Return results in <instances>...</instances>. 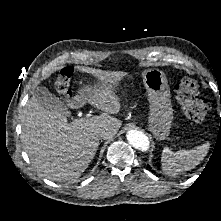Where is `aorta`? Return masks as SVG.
<instances>
[{"label":"aorta","instance_id":"obj_1","mask_svg":"<svg viewBox=\"0 0 221 221\" xmlns=\"http://www.w3.org/2000/svg\"><path fill=\"white\" fill-rule=\"evenodd\" d=\"M128 142L137 150L147 151L150 146L148 137L138 130H129L126 134Z\"/></svg>","mask_w":221,"mask_h":221}]
</instances>
